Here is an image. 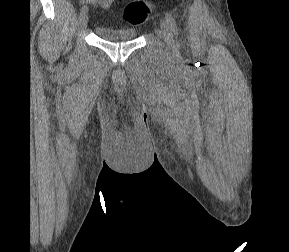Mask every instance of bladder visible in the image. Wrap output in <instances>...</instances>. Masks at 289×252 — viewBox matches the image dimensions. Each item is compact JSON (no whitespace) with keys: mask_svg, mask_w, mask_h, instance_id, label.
<instances>
[{"mask_svg":"<svg viewBox=\"0 0 289 252\" xmlns=\"http://www.w3.org/2000/svg\"><path fill=\"white\" fill-rule=\"evenodd\" d=\"M96 35L110 42L130 41L137 37L138 33L134 29L114 28L107 26H98L95 28Z\"/></svg>","mask_w":289,"mask_h":252,"instance_id":"31cf9c89","label":"bladder"}]
</instances>
